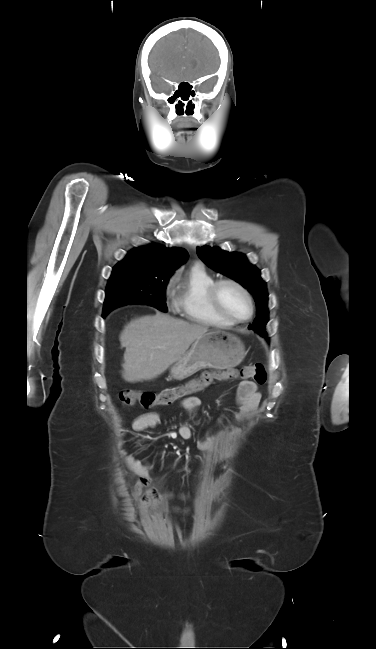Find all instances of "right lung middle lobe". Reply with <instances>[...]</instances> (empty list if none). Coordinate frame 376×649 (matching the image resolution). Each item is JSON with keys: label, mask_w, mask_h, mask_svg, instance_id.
Segmentation results:
<instances>
[{"label": "right lung middle lobe", "mask_w": 376, "mask_h": 649, "mask_svg": "<svg viewBox=\"0 0 376 649\" xmlns=\"http://www.w3.org/2000/svg\"><path fill=\"white\" fill-rule=\"evenodd\" d=\"M171 275L172 272L152 274L134 262H119L108 280L103 317L127 304H147L167 312L165 289Z\"/></svg>", "instance_id": "1"}]
</instances>
